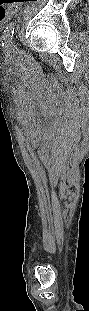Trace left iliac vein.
Returning <instances> with one entry per match:
<instances>
[{
	"instance_id": "obj_1",
	"label": "left iliac vein",
	"mask_w": 89,
	"mask_h": 311,
	"mask_svg": "<svg viewBox=\"0 0 89 311\" xmlns=\"http://www.w3.org/2000/svg\"><path fill=\"white\" fill-rule=\"evenodd\" d=\"M14 51V46L13 45H9L8 46V52L12 53Z\"/></svg>"
}]
</instances>
